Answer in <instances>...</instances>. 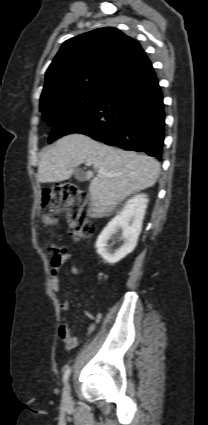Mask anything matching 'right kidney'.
I'll use <instances>...</instances> for the list:
<instances>
[{
    "label": "right kidney",
    "mask_w": 208,
    "mask_h": 425,
    "mask_svg": "<svg viewBox=\"0 0 208 425\" xmlns=\"http://www.w3.org/2000/svg\"><path fill=\"white\" fill-rule=\"evenodd\" d=\"M147 195L138 194L129 199L121 212L103 229L96 241L98 254L108 263L114 264L131 253L137 245L142 223L147 208ZM118 229L122 230L123 245L111 252L107 242Z\"/></svg>",
    "instance_id": "right-kidney-1"
}]
</instances>
